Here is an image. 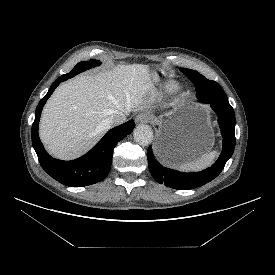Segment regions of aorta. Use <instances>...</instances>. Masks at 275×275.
<instances>
[{"instance_id": "1", "label": "aorta", "mask_w": 275, "mask_h": 275, "mask_svg": "<svg viewBox=\"0 0 275 275\" xmlns=\"http://www.w3.org/2000/svg\"><path fill=\"white\" fill-rule=\"evenodd\" d=\"M133 136L138 144L147 146L152 142L153 132L149 125L141 124L134 129Z\"/></svg>"}]
</instances>
